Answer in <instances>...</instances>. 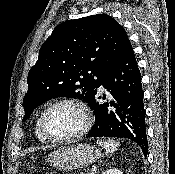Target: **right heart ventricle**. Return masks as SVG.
I'll return each instance as SVG.
<instances>
[{
  "instance_id": "obj_1",
  "label": "right heart ventricle",
  "mask_w": 175,
  "mask_h": 174,
  "mask_svg": "<svg viewBox=\"0 0 175 174\" xmlns=\"http://www.w3.org/2000/svg\"><path fill=\"white\" fill-rule=\"evenodd\" d=\"M39 119L40 117H38L36 124H35V134L38 138L39 141L41 142H46L47 140L43 137L41 131H40V127H39Z\"/></svg>"
}]
</instances>
